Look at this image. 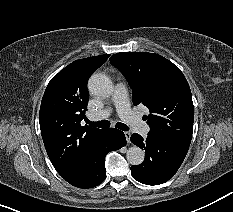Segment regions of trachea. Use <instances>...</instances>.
<instances>
[{"label":"trachea","mask_w":233,"mask_h":212,"mask_svg":"<svg viewBox=\"0 0 233 212\" xmlns=\"http://www.w3.org/2000/svg\"><path fill=\"white\" fill-rule=\"evenodd\" d=\"M86 123L92 127H98V128H107L110 126V122L108 120H102V121H98V122H91L89 120H86ZM116 127L122 131L129 130V127L121 122L116 123Z\"/></svg>","instance_id":"3493384b"}]
</instances>
